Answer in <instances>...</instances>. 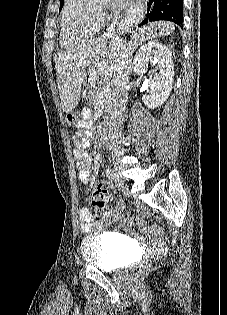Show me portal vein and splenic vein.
I'll list each match as a JSON object with an SVG mask.
<instances>
[{
    "label": "portal vein and splenic vein",
    "instance_id": "obj_1",
    "mask_svg": "<svg viewBox=\"0 0 227 315\" xmlns=\"http://www.w3.org/2000/svg\"><path fill=\"white\" fill-rule=\"evenodd\" d=\"M110 91V88H105V89H102L100 92H97L95 94V97L97 98V101L99 103H101V100L107 96V93Z\"/></svg>",
    "mask_w": 227,
    "mask_h": 315
}]
</instances>
